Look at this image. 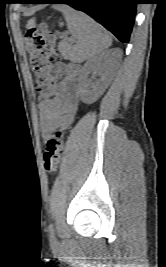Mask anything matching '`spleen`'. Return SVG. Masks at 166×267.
Here are the masks:
<instances>
[{"label": "spleen", "instance_id": "1", "mask_svg": "<svg viewBox=\"0 0 166 267\" xmlns=\"http://www.w3.org/2000/svg\"><path fill=\"white\" fill-rule=\"evenodd\" d=\"M61 11L76 44L68 55L73 62H83L100 54L112 44L109 33L91 17L67 5L54 6Z\"/></svg>", "mask_w": 166, "mask_h": 267}]
</instances>
